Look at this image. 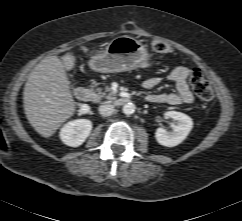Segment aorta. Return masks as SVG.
Returning a JSON list of instances; mask_svg holds the SVG:
<instances>
[{"label": "aorta", "mask_w": 242, "mask_h": 221, "mask_svg": "<svg viewBox=\"0 0 242 221\" xmlns=\"http://www.w3.org/2000/svg\"><path fill=\"white\" fill-rule=\"evenodd\" d=\"M122 111L126 115H131L135 112V105L133 103H126L123 105Z\"/></svg>", "instance_id": "1"}]
</instances>
